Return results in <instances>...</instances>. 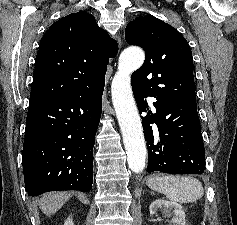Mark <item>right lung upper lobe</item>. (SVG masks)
I'll list each match as a JSON object with an SVG mask.
<instances>
[{"instance_id":"obj_1","label":"right lung upper lobe","mask_w":237,"mask_h":225,"mask_svg":"<svg viewBox=\"0 0 237 225\" xmlns=\"http://www.w3.org/2000/svg\"><path fill=\"white\" fill-rule=\"evenodd\" d=\"M117 52L116 41L93 15L80 11L61 18L40 41L29 105L64 99L105 82L109 58Z\"/></svg>"}]
</instances>
